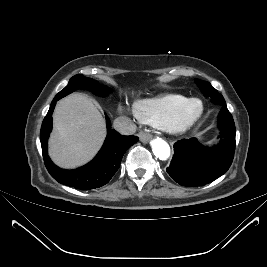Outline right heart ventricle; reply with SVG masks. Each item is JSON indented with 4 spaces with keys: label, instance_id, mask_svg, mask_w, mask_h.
Segmentation results:
<instances>
[{
    "label": "right heart ventricle",
    "instance_id": "e07e8e85",
    "mask_svg": "<svg viewBox=\"0 0 267 267\" xmlns=\"http://www.w3.org/2000/svg\"><path fill=\"white\" fill-rule=\"evenodd\" d=\"M187 99L180 94H166L140 100L135 104L134 110L141 121L160 127Z\"/></svg>",
    "mask_w": 267,
    "mask_h": 267
}]
</instances>
